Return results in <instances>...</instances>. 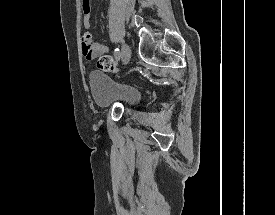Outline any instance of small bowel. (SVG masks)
<instances>
[{"instance_id":"small-bowel-1","label":"small bowel","mask_w":275,"mask_h":215,"mask_svg":"<svg viewBox=\"0 0 275 215\" xmlns=\"http://www.w3.org/2000/svg\"><path fill=\"white\" fill-rule=\"evenodd\" d=\"M82 13L84 26L87 31L81 37V50L86 60H93L98 56L107 54L108 47L94 42L91 32L88 31L90 28V18L92 15V6L89 0L87 2L83 0Z\"/></svg>"}]
</instances>
